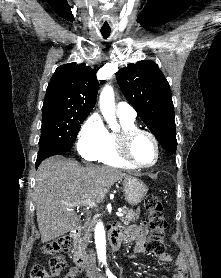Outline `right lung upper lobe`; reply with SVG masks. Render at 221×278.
<instances>
[{
  "mask_svg": "<svg viewBox=\"0 0 221 278\" xmlns=\"http://www.w3.org/2000/svg\"><path fill=\"white\" fill-rule=\"evenodd\" d=\"M98 89L96 69L75 62L61 65L48 84L42 112L89 115L95 105Z\"/></svg>",
  "mask_w": 221,
  "mask_h": 278,
  "instance_id": "1",
  "label": "right lung upper lobe"
}]
</instances>
